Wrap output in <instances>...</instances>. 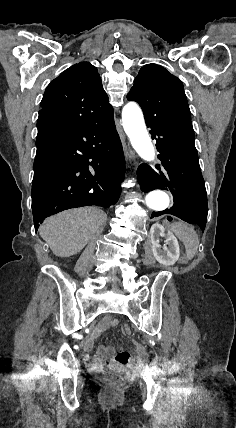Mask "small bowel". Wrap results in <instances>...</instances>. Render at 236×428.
Here are the masks:
<instances>
[{"label":"small bowel","instance_id":"small-bowel-1","mask_svg":"<svg viewBox=\"0 0 236 428\" xmlns=\"http://www.w3.org/2000/svg\"><path fill=\"white\" fill-rule=\"evenodd\" d=\"M117 320L111 316L104 318L98 326H96L85 340L83 347L85 351L93 349L95 340L105 330L116 326ZM135 357L131 356L127 351H120L115 353L113 347L110 346H99L96 355L92 360L87 361L88 367L93 371H99L103 367V360L106 359L108 365L116 368H128L135 369L139 367L146 358L145 348L137 342H134Z\"/></svg>","mask_w":236,"mask_h":428}]
</instances>
